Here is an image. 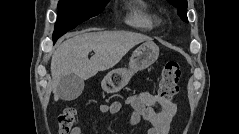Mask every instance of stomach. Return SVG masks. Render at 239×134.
Here are the masks:
<instances>
[{
	"label": "stomach",
	"instance_id": "1",
	"mask_svg": "<svg viewBox=\"0 0 239 134\" xmlns=\"http://www.w3.org/2000/svg\"><path fill=\"white\" fill-rule=\"evenodd\" d=\"M159 56V48L152 41H146L132 54L128 68H117L110 71L102 80L105 92L114 93L123 88L134 73L152 65Z\"/></svg>",
	"mask_w": 239,
	"mask_h": 134
}]
</instances>
